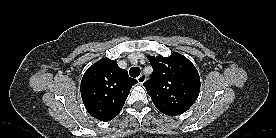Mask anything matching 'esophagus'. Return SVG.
<instances>
[{
    "label": "esophagus",
    "mask_w": 276,
    "mask_h": 138,
    "mask_svg": "<svg viewBox=\"0 0 276 138\" xmlns=\"http://www.w3.org/2000/svg\"><path fill=\"white\" fill-rule=\"evenodd\" d=\"M137 81L139 84H143L146 81V75L145 74H141L138 78Z\"/></svg>",
    "instance_id": "34e87169"
}]
</instances>
